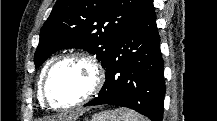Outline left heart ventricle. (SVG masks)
<instances>
[{
    "label": "left heart ventricle",
    "instance_id": "1",
    "mask_svg": "<svg viewBox=\"0 0 217 121\" xmlns=\"http://www.w3.org/2000/svg\"><path fill=\"white\" fill-rule=\"evenodd\" d=\"M93 81L94 72L87 62L79 59L68 61L55 70L49 84V95L54 104L69 105L85 96Z\"/></svg>",
    "mask_w": 217,
    "mask_h": 121
}]
</instances>
